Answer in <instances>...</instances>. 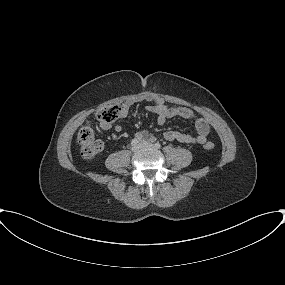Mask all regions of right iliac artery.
Instances as JSON below:
<instances>
[{"label":"right iliac artery","instance_id":"obj_1","mask_svg":"<svg viewBox=\"0 0 285 285\" xmlns=\"http://www.w3.org/2000/svg\"><path fill=\"white\" fill-rule=\"evenodd\" d=\"M139 143V140H137L136 138L132 139L131 141V146H135Z\"/></svg>","mask_w":285,"mask_h":285}]
</instances>
